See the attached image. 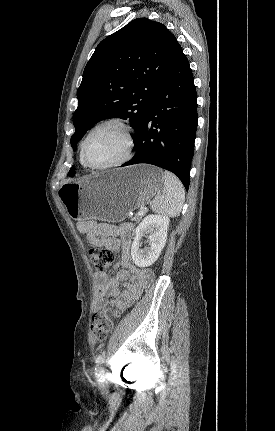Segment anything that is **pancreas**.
Returning <instances> with one entry per match:
<instances>
[{"instance_id": "cf45deb5", "label": "pancreas", "mask_w": 275, "mask_h": 431, "mask_svg": "<svg viewBox=\"0 0 275 431\" xmlns=\"http://www.w3.org/2000/svg\"><path fill=\"white\" fill-rule=\"evenodd\" d=\"M129 218H130V220L131 221H135V222H140L141 220H142V218H143V215H135V216H129Z\"/></svg>"}]
</instances>
